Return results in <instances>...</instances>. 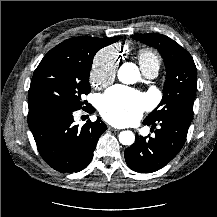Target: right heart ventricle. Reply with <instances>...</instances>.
<instances>
[{
  "label": "right heart ventricle",
  "instance_id": "e07e8e85",
  "mask_svg": "<svg viewBox=\"0 0 217 217\" xmlns=\"http://www.w3.org/2000/svg\"><path fill=\"white\" fill-rule=\"evenodd\" d=\"M137 60L142 71L153 67H160V58L159 56L150 48H142L137 52Z\"/></svg>",
  "mask_w": 217,
  "mask_h": 217
}]
</instances>
